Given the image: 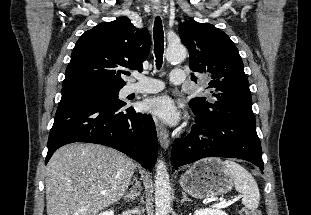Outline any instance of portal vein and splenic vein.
<instances>
[{"label": "portal vein and splenic vein", "instance_id": "obj_1", "mask_svg": "<svg viewBox=\"0 0 311 215\" xmlns=\"http://www.w3.org/2000/svg\"><path fill=\"white\" fill-rule=\"evenodd\" d=\"M240 197L241 196H238L237 198L229 200V201L222 200L221 202L214 204L213 207H216V208H226L227 206H229L232 203H234Z\"/></svg>", "mask_w": 311, "mask_h": 215}]
</instances>
